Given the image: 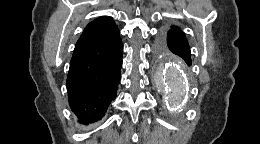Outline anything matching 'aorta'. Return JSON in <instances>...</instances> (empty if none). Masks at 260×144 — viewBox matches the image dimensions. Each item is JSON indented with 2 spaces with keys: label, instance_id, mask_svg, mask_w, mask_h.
<instances>
[{
  "label": "aorta",
  "instance_id": "762f6f07",
  "mask_svg": "<svg viewBox=\"0 0 260 144\" xmlns=\"http://www.w3.org/2000/svg\"><path fill=\"white\" fill-rule=\"evenodd\" d=\"M161 85L168 93V103L178 105L184 98L187 85L179 64L174 61L162 63L160 67Z\"/></svg>",
  "mask_w": 260,
  "mask_h": 144
}]
</instances>
